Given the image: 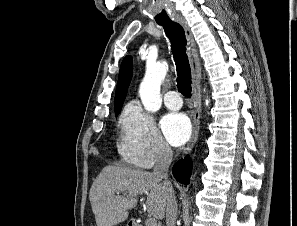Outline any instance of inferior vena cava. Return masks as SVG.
I'll return each instance as SVG.
<instances>
[{"instance_id":"602c4592","label":"inferior vena cava","mask_w":297,"mask_h":226,"mask_svg":"<svg viewBox=\"0 0 297 226\" xmlns=\"http://www.w3.org/2000/svg\"><path fill=\"white\" fill-rule=\"evenodd\" d=\"M171 148L163 144L157 153L156 163L153 169V175L159 179H163V184L167 189V205H166V226H175L177 219V202L171 182L168 180V171L172 162Z\"/></svg>"}]
</instances>
